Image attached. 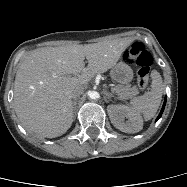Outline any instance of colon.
I'll return each instance as SVG.
<instances>
[{
	"instance_id": "obj_1",
	"label": "colon",
	"mask_w": 187,
	"mask_h": 187,
	"mask_svg": "<svg viewBox=\"0 0 187 187\" xmlns=\"http://www.w3.org/2000/svg\"><path fill=\"white\" fill-rule=\"evenodd\" d=\"M125 60L137 67V85L139 89L144 90L147 86L152 56L140 43H134L124 54Z\"/></svg>"
}]
</instances>
